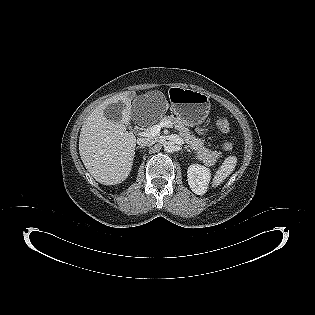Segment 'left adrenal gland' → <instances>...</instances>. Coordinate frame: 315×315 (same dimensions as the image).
Here are the masks:
<instances>
[{
	"label": "left adrenal gland",
	"mask_w": 315,
	"mask_h": 315,
	"mask_svg": "<svg viewBox=\"0 0 315 315\" xmlns=\"http://www.w3.org/2000/svg\"><path fill=\"white\" fill-rule=\"evenodd\" d=\"M184 149H186L188 152H190V150L188 149V147H187V146H185V147H184Z\"/></svg>",
	"instance_id": "a2214340"
}]
</instances>
